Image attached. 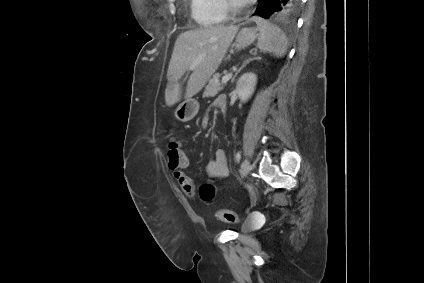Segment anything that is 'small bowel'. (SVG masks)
<instances>
[{"label": "small bowel", "mask_w": 424, "mask_h": 283, "mask_svg": "<svg viewBox=\"0 0 424 283\" xmlns=\"http://www.w3.org/2000/svg\"><path fill=\"white\" fill-rule=\"evenodd\" d=\"M224 97H219L214 102V106H219L220 101ZM204 125L207 123V118L203 120ZM184 163L180 166L173 168L169 165L173 171V177L183 190V192L190 198H193L196 194V186L191 178L184 172V168L188 166V158L184 151L181 149ZM206 173L211 178H225L229 173L228 160L226 153L223 149H217L214 154L213 160H211L206 166Z\"/></svg>", "instance_id": "c3829d8e"}]
</instances>
